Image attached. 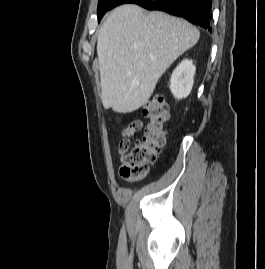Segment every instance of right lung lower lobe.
I'll list each match as a JSON object with an SVG mask.
<instances>
[{
	"mask_svg": "<svg viewBox=\"0 0 265 269\" xmlns=\"http://www.w3.org/2000/svg\"><path fill=\"white\" fill-rule=\"evenodd\" d=\"M125 3H134L148 10H161L184 17L193 24L211 31L212 0H114L108 10Z\"/></svg>",
	"mask_w": 265,
	"mask_h": 269,
	"instance_id": "obj_1",
	"label": "right lung lower lobe"
}]
</instances>
